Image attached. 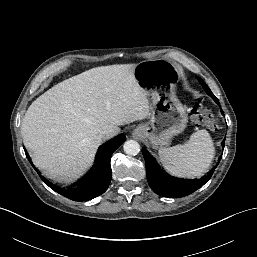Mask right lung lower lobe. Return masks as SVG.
Returning a JSON list of instances; mask_svg holds the SVG:
<instances>
[{"mask_svg": "<svg viewBox=\"0 0 257 257\" xmlns=\"http://www.w3.org/2000/svg\"><path fill=\"white\" fill-rule=\"evenodd\" d=\"M125 140L126 137L121 134L100 146L97 151L93 167L72 189L59 188L43 176L40 175V177L54 191L71 200L87 201L98 197L107 190L111 181L112 170L110 160L112 153L122 145ZM26 156L30 161L27 153ZM38 174L40 173L38 172Z\"/></svg>", "mask_w": 257, "mask_h": 257, "instance_id": "obj_1", "label": "right lung lower lobe"}]
</instances>
